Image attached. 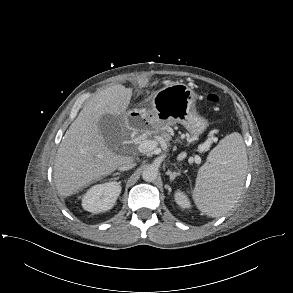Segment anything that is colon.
<instances>
[{"label": "colon", "instance_id": "1", "mask_svg": "<svg viewBox=\"0 0 293 293\" xmlns=\"http://www.w3.org/2000/svg\"><path fill=\"white\" fill-rule=\"evenodd\" d=\"M207 102L209 103L210 106H215L220 103V98L216 94H209L206 98Z\"/></svg>", "mask_w": 293, "mask_h": 293}]
</instances>
